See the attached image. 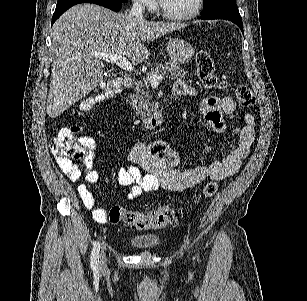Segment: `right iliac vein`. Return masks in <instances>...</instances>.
<instances>
[{"instance_id": "63e3f726", "label": "right iliac vein", "mask_w": 307, "mask_h": 301, "mask_svg": "<svg viewBox=\"0 0 307 301\" xmlns=\"http://www.w3.org/2000/svg\"><path fill=\"white\" fill-rule=\"evenodd\" d=\"M99 266L101 269H105L107 266V259L104 253L101 254Z\"/></svg>"}]
</instances>
